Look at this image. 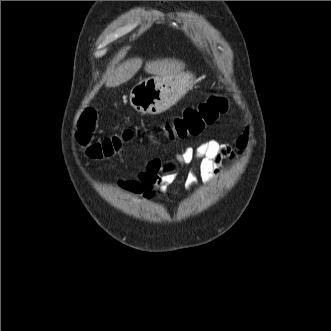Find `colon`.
Instances as JSON below:
<instances>
[{
    "mask_svg": "<svg viewBox=\"0 0 331 331\" xmlns=\"http://www.w3.org/2000/svg\"><path fill=\"white\" fill-rule=\"evenodd\" d=\"M227 108L228 103L225 98L212 95L197 107L187 108L182 115L167 122L164 130L169 139L199 135L206 126L213 124L219 116L224 114ZM95 122V111L87 109L78 124L77 138L81 144L86 145V154L90 158L101 159L113 155L133 136L132 130L127 129L121 134L92 142Z\"/></svg>",
    "mask_w": 331,
    "mask_h": 331,
    "instance_id": "1",
    "label": "colon"
}]
</instances>
